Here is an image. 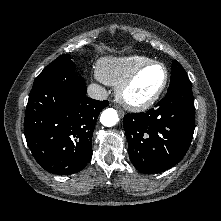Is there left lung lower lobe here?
<instances>
[{"label":"left lung lower lobe","mask_w":221,"mask_h":221,"mask_svg":"<svg viewBox=\"0 0 221 221\" xmlns=\"http://www.w3.org/2000/svg\"><path fill=\"white\" fill-rule=\"evenodd\" d=\"M191 84L170 92L146 113L123 119L129 158L142 173H158L176 165L186 154L195 129Z\"/></svg>","instance_id":"obj_1"}]
</instances>
